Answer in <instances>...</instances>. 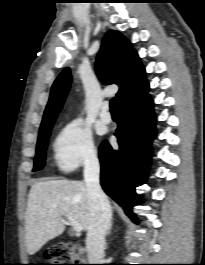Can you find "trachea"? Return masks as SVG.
Wrapping results in <instances>:
<instances>
[{
	"label": "trachea",
	"instance_id": "trachea-1",
	"mask_svg": "<svg viewBox=\"0 0 205 265\" xmlns=\"http://www.w3.org/2000/svg\"><path fill=\"white\" fill-rule=\"evenodd\" d=\"M110 111L113 113L118 112L117 99L115 97L110 101Z\"/></svg>",
	"mask_w": 205,
	"mask_h": 265
}]
</instances>
